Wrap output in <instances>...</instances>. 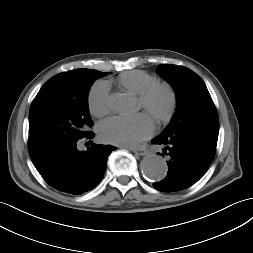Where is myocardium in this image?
<instances>
[{
	"instance_id": "f54148a6",
	"label": "myocardium",
	"mask_w": 253,
	"mask_h": 253,
	"mask_svg": "<svg viewBox=\"0 0 253 253\" xmlns=\"http://www.w3.org/2000/svg\"><path fill=\"white\" fill-rule=\"evenodd\" d=\"M161 92L167 95L168 105L165 112L155 116L154 119L158 123L164 124L173 118L178 107V94L171 84L162 82L152 85L139 95V102L144 110L149 111L153 99Z\"/></svg>"
}]
</instances>
